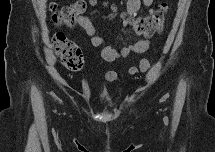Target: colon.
Wrapping results in <instances>:
<instances>
[{
  "instance_id": "colon-1",
  "label": "colon",
  "mask_w": 215,
  "mask_h": 152,
  "mask_svg": "<svg viewBox=\"0 0 215 152\" xmlns=\"http://www.w3.org/2000/svg\"><path fill=\"white\" fill-rule=\"evenodd\" d=\"M86 6L87 3L85 1H76L70 6L58 9L57 6L52 3L50 6L52 21L57 26H73L77 22V19L85 12ZM167 10V4L162 3L152 14L128 18L127 22L136 34L150 37L163 29ZM53 46L55 52L61 58L63 65L67 69L77 71L82 67L83 55L81 49L64 34L58 33L53 37Z\"/></svg>"
}]
</instances>
